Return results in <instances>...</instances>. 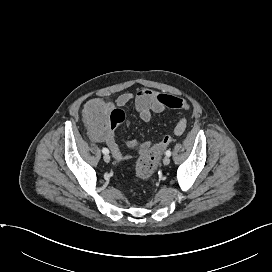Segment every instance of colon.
Here are the masks:
<instances>
[{
    "mask_svg": "<svg viewBox=\"0 0 272 272\" xmlns=\"http://www.w3.org/2000/svg\"><path fill=\"white\" fill-rule=\"evenodd\" d=\"M83 115L93 136L105 134L110 128L121 124L125 118L122 110L113 109L102 99L88 101L84 106ZM173 140L172 136H165L139 158L136 166L137 177L146 179L153 174L163 150Z\"/></svg>",
    "mask_w": 272,
    "mask_h": 272,
    "instance_id": "5ec220e1",
    "label": "colon"
}]
</instances>
